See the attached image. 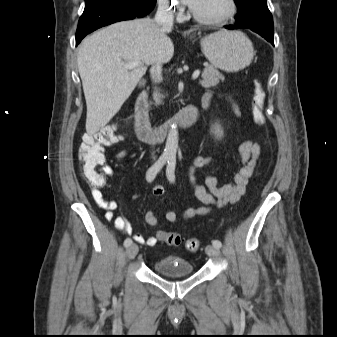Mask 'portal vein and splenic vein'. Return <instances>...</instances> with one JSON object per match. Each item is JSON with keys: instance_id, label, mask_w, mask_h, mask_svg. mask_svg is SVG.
<instances>
[{"instance_id": "1", "label": "portal vein and splenic vein", "mask_w": 337, "mask_h": 337, "mask_svg": "<svg viewBox=\"0 0 337 337\" xmlns=\"http://www.w3.org/2000/svg\"><path fill=\"white\" fill-rule=\"evenodd\" d=\"M141 65V62L140 61H131V62H128L125 64V68L126 69H134L135 67H138ZM200 75V71L199 70H196L194 71V73L192 74V79L195 80L199 77Z\"/></svg>"}]
</instances>
